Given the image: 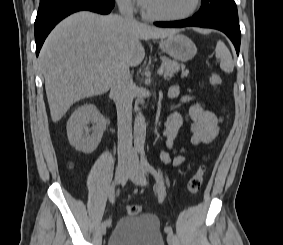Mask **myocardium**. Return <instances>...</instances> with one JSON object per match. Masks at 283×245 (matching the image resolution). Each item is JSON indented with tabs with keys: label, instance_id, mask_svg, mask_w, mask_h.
I'll return each instance as SVG.
<instances>
[{
	"label": "myocardium",
	"instance_id": "f54148a6",
	"mask_svg": "<svg viewBox=\"0 0 283 245\" xmlns=\"http://www.w3.org/2000/svg\"><path fill=\"white\" fill-rule=\"evenodd\" d=\"M201 4H202V0H194L193 5L189 10H187L183 14L176 15V16H164V15L153 14L149 12L142 4V14L145 18L154 20V21H165V22L181 21L195 14L197 10L200 8Z\"/></svg>",
	"mask_w": 283,
	"mask_h": 245
}]
</instances>
